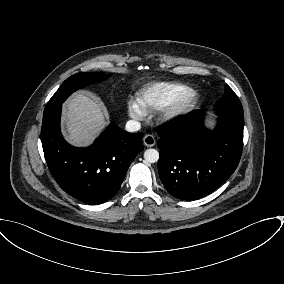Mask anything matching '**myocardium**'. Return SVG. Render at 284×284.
I'll return each mask as SVG.
<instances>
[{
    "label": "myocardium",
    "instance_id": "myocardium-1",
    "mask_svg": "<svg viewBox=\"0 0 284 284\" xmlns=\"http://www.w3.org/2000/svg\"><path fill=\"white\" fill-rule=\"evenodd\" d=\"M199 98V93L196 90H188L172 103L162 108L159 119L162 122L169 123L186 116L196 107Z\"/></svg>",
    "mask_w": 284,
    "mask_h": 284
}]
</instances>
